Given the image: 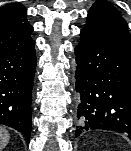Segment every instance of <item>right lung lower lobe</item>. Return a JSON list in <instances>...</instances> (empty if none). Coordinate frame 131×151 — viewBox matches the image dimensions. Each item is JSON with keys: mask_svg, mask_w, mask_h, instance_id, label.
I'll return each mask as SVG.
<instances>
[{"mask_svg": "<svg viewBox=\"0 0 131 151\" xmlns=\"http://www.w3.org/2000/svg\"><path fill=\"white\" fill-rule=\"evenodd\" d=\"M32 30L19 35H0V124L23 133L27 142L36 69Z\"/></svg>", "mask_w": 131, "mask_h": 151, "instance_id": "right-lung-lower-lobe-1", "label": "right lung lower lobe"}]
</instances>
